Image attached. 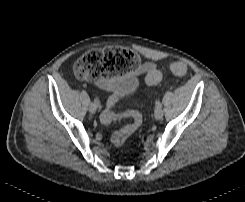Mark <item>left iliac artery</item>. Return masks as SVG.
I'll use <instances>...</instances> for the list:
<instances>
[{
	"mask_svg": "<svg viewBox=\"0 0 245 202\" xmlns=\"http://www.w3.org/2000/svg\"><path fill=\"white\" fill-rule=\"evenodd\" d=\"M155 106H156V108H161L162 107V104H161L160 101H156L155 102Z\"/></svg>",
	"mask_w": 245,
	"mask_h": 202,
	"instance_id": "44dca946",
	"label": "left iliac artery"
}]
</instances>
